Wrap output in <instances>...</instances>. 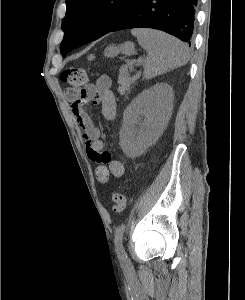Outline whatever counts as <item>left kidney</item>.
I'll return each mask as SVG.
<instances>
[{
	"instance_id": "obj_1",
	"label": "left kidney",
	"mask_w": 245,
	"mask_h": 300,
	"mask_svg": "<svg viewBox=\"0 0 245 300\" xmlns=\"http://www.w3.org/2000/svg\"><path fill=\"white\" fill-rule=\"evenodd\" d=\"M173 92L167 84H157L140 93L125 109L120 146L125 154L140 155L161 134L172 110ZM144 122L137 128L141 118Z\"/></svg>"
}]
</instances>
